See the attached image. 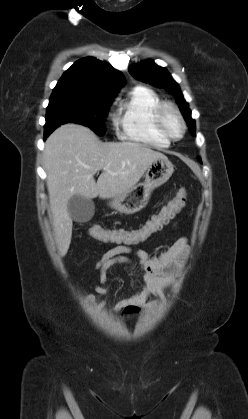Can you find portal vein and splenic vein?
Masks as SVG:
<instances>
[{
  "label": "portal vein and splenic vein",
  "mask_w": 248,
  "mask_h": 419,
  "mask_svg": "<svg viewBox=\"0 0 248 419\" xmlns=\"http://www.w3.org/2000/svg\"><path fill=\"white\" fill-rule=\"evenodd\" d=\"M105 170H106V171H108V172H109V173H111V174H114V173H112L110 170H108L107 168H105Z\"/></svg>",
  "instance_id": "obj_1"
}]
</instances>
